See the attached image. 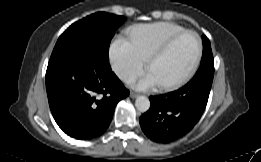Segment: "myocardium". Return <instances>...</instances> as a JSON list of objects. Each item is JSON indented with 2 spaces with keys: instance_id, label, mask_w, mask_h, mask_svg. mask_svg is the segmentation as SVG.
<instances>
[{
  "instance_id": "obj_1",
  "label": "myocardium",
  "mask_w": 261,
  "mask_h": 162,
  "mask_svg": "<svg viewBox=\"0 0 261 162\" xmlns=\"http://www.w3.org/2000/svg\"><path fill=\"white\" fill-rule=\"evenodd\" d=\"M186 34H192L196 37L197 39V53L195 56V59L191 65V67L188 69V71L181 76L180 78L176 79L175 81H172L170 83L166 84H160L161 89L163 90H172L175 89L185 82H187L197 71V68L200 64L201 58H202V53H203V44H202V39L199 36V34L193 30H183L179 33H176L169 37L166 41H164L157 49H155L147 58L146 60V68L149 69L151 64L161 56H163L170 48L171 46L182 36Z\"/></svg>"
}]
</instances>
